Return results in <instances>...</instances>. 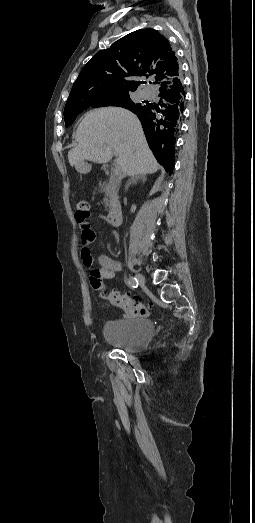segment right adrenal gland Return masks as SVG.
Segmentation results:
<instances>
[{"label": "right adrenal gland", "instance_id": "right-adrenal-gland-1", "mask_svg": "<svg viewBox=\"0 0 255 523\" xmlns=\"http://www.w3.org/2000/svg\"><path fill=\"white\" fill-rule=\"evenodd\" d=\"M139 178H140V180H142V182H145V180H146L145 174H140V176H133V178H131V180H128V182L125 186V190H129L130 184H132V182H133V184H136V182H137V180H139Z\"/></svg>", "mask_w": 255, "mask_h": 523}]
</instances>
